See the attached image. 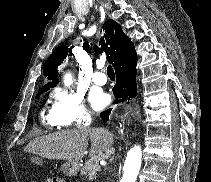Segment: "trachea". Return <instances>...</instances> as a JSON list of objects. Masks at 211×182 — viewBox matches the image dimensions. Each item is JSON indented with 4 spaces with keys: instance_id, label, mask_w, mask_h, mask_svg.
<instances>
[{
    "instance_id": "1",
    "label": "trachea",
    "mask_w": 211,
    "mask_h": 182,
    "mask_svg": "<svg viewBox=\"0 0 211 182\" xmlns=\"http://www.w3.org/2000/svg\"><path fill=\"white\" fill-rule=\"evenodd\" d=\"M107 75L108 76H115L114 70H113L111 65H108V67H107Z\"/></svg>"
}]
</instances>
